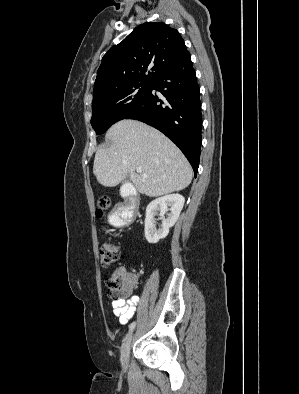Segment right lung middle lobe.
I'll use <instances>...</instances> for the list:
<instances>
[{"instance_id": "right-lung-middle-lobe-1", "label": "right lung middle lobe", "mask_w": 299, "mask_h": 394, "mask_svg": "<svg viewBox=\"0 0 299 394\" xmlns=\"http://www.w3.org/2000/svg\"><path fill=\"white\" fill-rule=\"evenodd\" d=\"M151 82L126 84L93 95L91 125L96 134L125 118L144 99Z\"/></svg>"}]
</instances>
